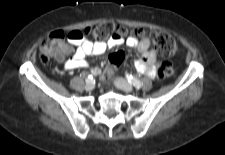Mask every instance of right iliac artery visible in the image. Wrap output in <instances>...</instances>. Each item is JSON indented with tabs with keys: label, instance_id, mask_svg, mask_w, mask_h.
Masks as SVG:
<instances>
[{
	"label": "right iliac artery",
	"instance_id": "obj_1",
	"mask_svg": "<svg viewBox=\"0 0 225 155\" xmlns=\"http://www.w3.org/2000/svg\"><path fill=\"white\" fill-rule=\"evenodd\" d=\"M92 80H93L92 75H89L85 81H86V83H88V82H92Z\"/></svg>",
	"mask_w": 225,
	"mask_h": 155
}]
</instances>
